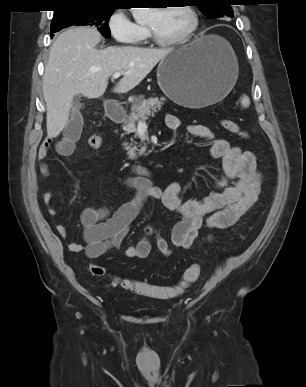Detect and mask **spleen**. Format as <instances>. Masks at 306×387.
Segmentation results:
<instances>
[{
  "label": "spleen",
  "instance_id": "1",
  "mask_svg": "<svg viewBox=\"0 0 306 387\" xmlns=\"http://www.w3.org/2000/svg\"><path fill=\"white\" fill-rule=\"evenodd\" d=\"M241 105L245 108L249 107L250 99L247 95H243L240 99Z\"/></svg>",
  "mask_w": 306,
  "mask_h": 387
}]
</instances>
